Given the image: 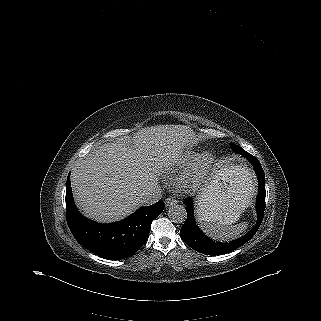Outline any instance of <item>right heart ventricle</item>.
I'll use <instances>...</instances> for the list:
<instances>
[{
    "label": "right heart ventricle",
    "instance_id": "right-heart-ventricle-1",
    "mask_svg": "<svg viewBox=\"0 0 321 321\" xmlns=\"http://www.w3.org/2000/svg\"><path fill=\"white\" fill-rule=\"evenodd\" d=\"M196 160H197L196 156L189 154V155H187V156L184 158V160H183V162H182V165H183L184 167H189V166L192 165Z\"/></svg>",
    "mask_w": 321,
    "mask_h": 321
}]
</instances>
